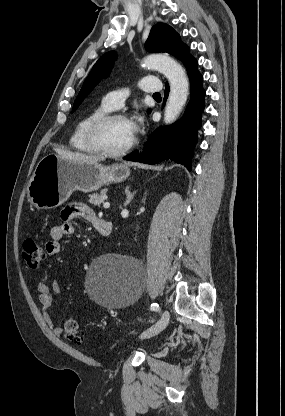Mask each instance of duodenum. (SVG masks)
I'll return each instance as SVG.
<instances>
[{
    "mask_svg": "<svg viewBox=\"0 0 285 416\" xmlns=\"http://www.w3.org/2000/svg\"><path fill=\"white\" fill-rule=\"evenodd\" d=\"M92 224L103 238H109L111 236L113 227L110 222L101 220L97 217L92 221Z\"/></svg>",
    "mask_w": 285,
    "mask_h": 416,
    "instance_id": "410a0bca",
    "label": "duodenum"
}]
</instances>
